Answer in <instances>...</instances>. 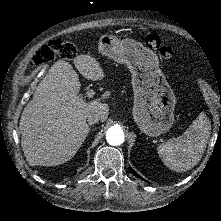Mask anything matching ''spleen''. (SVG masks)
I'll use <instances>...</instances> for the list:
<instances>
[{"instance_id":"obj_1","label":"spleen","mask_w":221,"mask_h":221,"mask_svg":"<svg viewBox=\"0 0 221 221\" xmlns=\"http://www.w3.org/2000/svg\"><path fill=\"white\" fill-rule=\"evenodd\" d=\"M211 122L204 112L192 122L187 130L157 147L165 166L176 172L190 170L201 160L210 137Z\"/></svg>"}]
</instances>
